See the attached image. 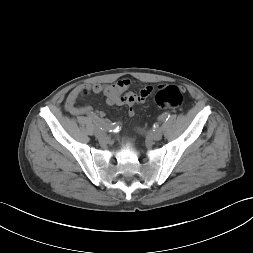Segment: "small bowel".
Instances as JSON below:
<instances>
[{
  "label": "small bowel",
  "mask_w": 253,
  "mask_h": 253,
  "mask_svg": "<svg viewBox=\"0 0 253 253\" xmlns=\"http://www.w3.org/2000/svg\"><path fill=\"white\" fill-rule=\"evenodd\" d=\"M131 81L129 79H121L116 83L103 85H79L75 87L68 95L66 99L65 108L66 110L74 115H85L88 117L96 116V112L90 106H78L76 101L78 97L85 91H92L95 94H102L105 97L108 105H128L129 115L133 116L135 111L133 106L137 103H142L152 93L153 89L150 86L144 87L138 94L133 92H126L130 87ZM126 92V93H125ZM100 117L104 116L103 112L98 113ZM108 122V120H105Z\"/></svg>",
  "instance_id": "1"
}]
</instances>
